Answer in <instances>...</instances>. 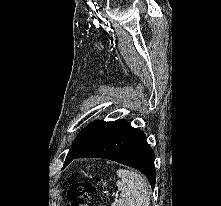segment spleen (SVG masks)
<instances>
[{"label": "spleen", "mask_w": 221, "mask_h": 206, "mask_svg": "<svg viewBox=\"0 0 221 206\" xmlns=\"http://www.w3.org/2000/svg\"><path fill=\"white\" fill-rule=\"evenodd\" d=\"M117 175L120 178L117 186L121 193L111 206H149V186L139 173L118 169Z\"/></svg>", "instance_id": "spleen-1"}]
</instances>
